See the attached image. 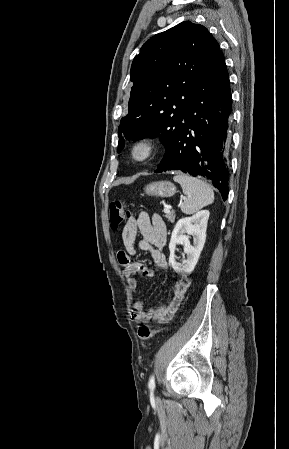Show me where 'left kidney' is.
I'll list each match as a JSON object with an SVG mask.
<instances>
[{
  "label": "left kidney",
  "instance_id": "5707ae66",
  "mask_svg": "<svg viewBox=\"0 0 289 449\" xmlns=\"http://www.w3.org/2000/svg\"><path fill=\"white\" fill-rule=\"evenodd\" d=\"M209 215L208 210H201L193 216L180 219L175 225L169 243V264L175 272L189 274L194 270L205 244ZM185 233L193 236V245L190 244L189 236ZM177 244L183 245L184 252L187 254V259L182 264L175 260Z\"/></svg>",
  "mask_w": 289,
  "mask_h": 449
}]
</instances>
